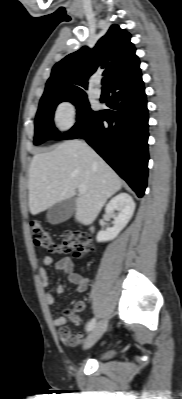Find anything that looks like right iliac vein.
Masks as SVG:
<instances>
[{
  "label": "right iliac vein",
  "instance_id": "right-iliac-vein-1",
  "mask_svg": "<svg viewBox=\"0 0 182 399\" xmlns=\"http://www.w3.org/2000/svg\"><path fill=\"white\" fill-rule=\"evenodd\" d=\"M108 325L107 320H101L96 324V326L92 329L88 337L86 338L84 342V349H88L92 347L102 336L104 331L106 330Z\"/></svg>",
  "mask_w": 182,
  "mask_h": 399
}]
</instances>
